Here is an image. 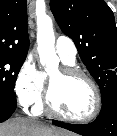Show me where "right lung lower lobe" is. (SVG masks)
<instances>
[{
    "instance_id": "98d812e1",
    "label": "right lung lower lobe",
    "mask_w": 117,
    "mask_h": 136,
    "mask_svg": "<svg viewBox=\"0 0 117 136\" xmlns=\"http://www.w3.org/2000/svg\"><path fill=\"white\" fill-rule=\"evenodd\" d=\"M17 106L16 97L0 93V123L7 120L15 111Z\"/></svg>"
}]
</instances>
